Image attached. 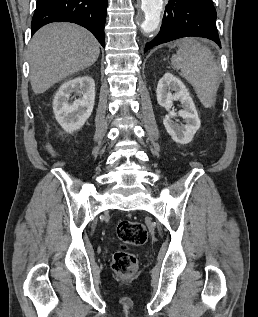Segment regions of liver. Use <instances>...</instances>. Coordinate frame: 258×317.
I'll list each match as a JSON object with an SVG mask.
<instances>
[{
    "label": "liver",
    "mask_w": 258,
    "mask_h": 317,
    "mask_svg": "<svg viewBox=\"0 0 258 317\" xmlns=\"http://www.w3.org/2000/svg\"><path fill=\"white\" fill-rule=\"evenodd\" d=\"M95 36L71 22H52L39 28L29 44L33 92H45L55 82L94 64L100 52Z\"/></svg>",
    "instance_id": "1"
}]
</instances>
